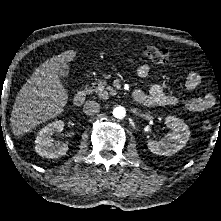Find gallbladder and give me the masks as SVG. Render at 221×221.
<instances>
[{
	"label": "gallbladder",
	"mask_w": 221,
	"mask_h": 221,
	"mask_svg": "<svg viewBox=\"0 0 221 221\" xmlns=\"http://www.w3.org/2000/svg\"><path fill=\"white\" fill-rule=\"evenodd\" d=\"M69 74V66L64 63V64H61L59 66V71H58V75L61 79H64L65 77H67Z\"/></svg>",
	"instance_id": "obj_1"
}]
</instances>
